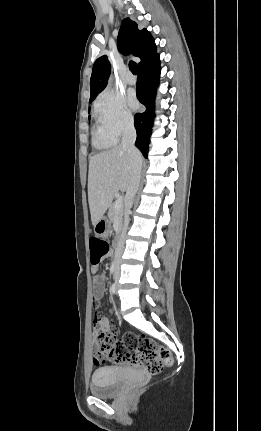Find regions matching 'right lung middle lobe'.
<instances>
[{
  "mask_svg": "<svg viewBox=\"0 0 261 431\" xmlns=\"http://www.w3.org/2000/svg\"><path fill=\"white\" fill-rule=\"evenodd\" d=\"M92 101H93V100H90V101H89V103H91ZM89 111H90V109H89Z\"/></svg>",
  "mask_w": 261,
  "mask_h": 431,
  "instance_id": "obj_1",
  "label": "right lung middle lobe"
}]
</instances>
